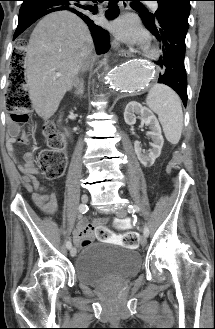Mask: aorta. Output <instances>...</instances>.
I'll use <instances>...</instances> for the list:
<instances>
[{
	"instance_id": "obj_1",
	"label": "aorta",
	"mask_w": 215,
	"mask_h": 329,
	"mask_svg": "<svg viewBox=\"0 0 215 329\" xmlns=\"http://www.w3.org/2000/svg\"><path fill=\"white\" fill-rule=\"evenodd\" d=\"M152 78V70L139 61L117 62L105 77V85L119 92H135L144 89Z\"/></svg>"
}]
</instances>
